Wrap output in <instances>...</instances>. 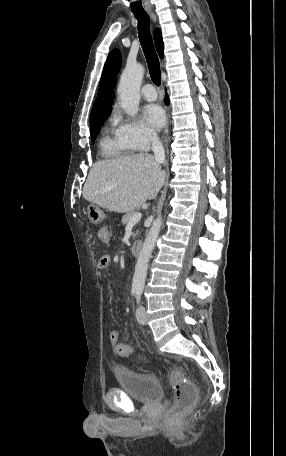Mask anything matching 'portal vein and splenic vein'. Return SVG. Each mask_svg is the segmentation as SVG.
<instances>
[{
    "label": "portal vein and splenic vein",
    "mask_w": 286,
    "mask_h": 456,
    "mask_svg": "<svg viewBox=\"0 0 286 456\" xmlns=\"http://www.w3.org/2000/svg\"><path fill=\"white\" fill-rule=\"evenodd\" d=\"M141 217H142V213H140V212L135 213L132 216V218L129 220V224L136 223V222L140 221Z\"/></svg>",
    "instance_id": "18ae733b"
}]
</instances>
